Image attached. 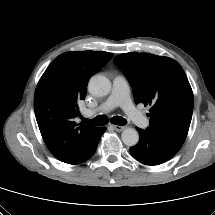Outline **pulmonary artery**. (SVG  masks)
<instances>
[{"instance_id":"1","label":"pulmonary artery","mask_w":215,"mask_h":215,"mask_svg":"<svg viewBox=\"0 0 215 215\" xmlns=\"http://www.w3.org/2000/svg\"><path fill=\"white\" fill-rule=\"evenodd\" d=\"M120 106L128 118L137 126L145 128L149 125L146 116L139 111L129 98V88L124 77L118 75L113 80L112 91L109 97L96 109H87L84 114L91 117L96 113L108 112Z\"/></svg>"}]
</instances>
